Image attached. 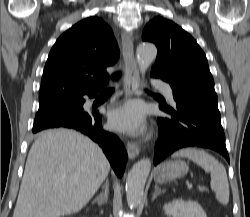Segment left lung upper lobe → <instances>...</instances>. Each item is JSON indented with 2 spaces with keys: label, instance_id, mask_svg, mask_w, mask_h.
<instances>
[{
  "label": "left lung upper lobe",
  "instance_id": "obj_1",
  "mask_svg": "<svg viewBox=\"0 0 250 217\" xmlns=\"http://www.w3.org/2000/svg\"><path fill=\"white\" fill-rule=\"evenodd\" d=\"M142 39L154 43L158 49L152 77L168 82L172 89L215 93L206 55L181 27L155 17L144 28Z\"/></svg>",
  "mask_w": 250,
  "mask_h": 217
}]
</instances>
